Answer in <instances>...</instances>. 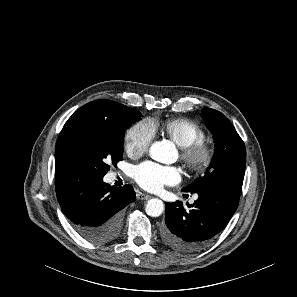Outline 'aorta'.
<instances>
[{"label": "aorta", "mask_w": 297, "mask_h": 297, "mask_svg": "<svg viewBox=\"0 0 297 297\" xmlns=\"http://www.w3.org/2000/svg\"><path fill=\"white\" fill-rule=\"evenodd\" d=\"M149 155L152 159L167 163L170 155V147L164 142H155L151 145L149 149ZM164 204L162 200L158 198H153L148 200L145 211L149 216L158 217L163 213Z\"/></svg>", "instance_id": "762f6f07"}]
</instances>
